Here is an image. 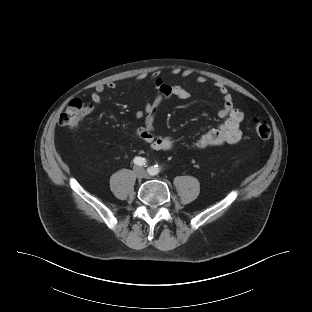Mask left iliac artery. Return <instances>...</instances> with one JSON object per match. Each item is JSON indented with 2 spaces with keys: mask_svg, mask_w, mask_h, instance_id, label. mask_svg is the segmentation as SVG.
Here are the masks:
<instances>
[{
  "mask_svg": "<svg viewBox=\"0 0 312 312\" xmlns=\"http://www.w3.org/2000/svg\"><path fill=\"white\" fill-rule=\"evenodd\" d=\"M147 170H148V173H149L150 175H156V174L158 173V171H159L158 165L149 167Z\"/></svg>",
  "mask_w": 312,
  "mask_h": 312,
  "instance_id": "44dca946",
  "label": "left iliac artery"
}]
</instances>
